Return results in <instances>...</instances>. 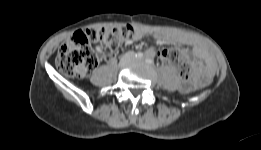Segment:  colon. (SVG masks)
<instances>
[{
	"label": "colon",
	"mask_w": 261,
	"mask_h": 150,
	"mask_svg": "<svg viewBox=\"0 0 261 150\" xmlns=\"http://www.w3.org/2000/svg\"><path fill=\"white\" fill-rule=\"evenodd\" d=\"M134 33L135 29L130 25L78 31L60 47L56 67L67 76L84 78L97 66L101 54L120 49ZM158 54L166 63L173 64L181 77H188L189 60L181 50L163 49Z\"/></svg>",
	"instance_id": "obj_1"
}]
</instances>
